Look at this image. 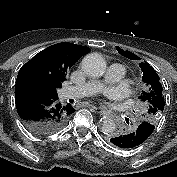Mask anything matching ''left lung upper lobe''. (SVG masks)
<instances>
[{
  "label": "left lung upper lobe",
  "mask_w": 177,
  "mask_h": 177,
  "mask_svg": "<svg viewBox=\"0 0 177 177\" xmlns=\"http://www.w3.org/2000/svg\"><path fill=\"white\" fill-rule=\"evenodd\" d=\"M120 54L128 57L127 51L120 50ZM139 66L143 72L142 81L144 83V90L139 96L145 106L142 119L155 125L160 119L165 106L163 87L158 74L149 63H140Z\"/></svg>",
  "instance_id": "left-lung-upper-lobe-1"
}]
</instances>
